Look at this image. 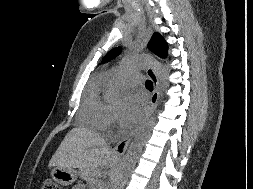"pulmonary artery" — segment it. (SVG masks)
<instances>
[{
	"mask_svg": "<svg viewBox=\"0 0 253 189\" xmlns=\"http://www.w3.org/2000/svg\"><path fill=\"white\" fill-rule=\"evenodd\" d=\"M140 80V76L136 73L127 72L123 75L122 79L119 81L120 84H127V83H138Z\"/></svg>",
	"mask_w": 253,
	"mask_h": 189,
	"instance_id": "1",
	"label": "pulmonary artery"
}]
</instances>
